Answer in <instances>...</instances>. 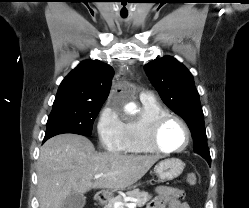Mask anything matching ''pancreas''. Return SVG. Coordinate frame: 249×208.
Listing matches in <instances>:
<instances>
[{"label":"pancreas","instance_id":"obj_1","mask_svg":"<svg viewBox=\"0 0 249 208\" xmlns=\"http://www.w3.org/2000/svg\"><path fill=\"white\" fill-rule=\"evenodd\" d=\"M126 196L135 198L136 199L135 204L138 207H143L152 197L151 195L148 194V192L140 191L138 189H134L132 191L126 192ZM123 201H124V197L122 196L112 197L108 199L104 208H114L115 202H123Z\"/></svg>","mask_w":249,"mask_h":208}]
</instances>
